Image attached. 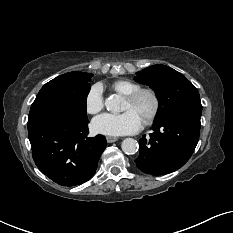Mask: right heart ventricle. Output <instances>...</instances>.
<instances>
[{
	"label": "right heart ventricle",
	"instance_id": "right-heart-ventricle-1",
	"mask_svg": "<svg viewBox=\"0 0 233 233\" xmlns=\"http://www.w3.org/2000/svg\"><path fill=\"white\" fill-rule=\"evenodd\" d=\"M111 88L116 93H118L122 96H127V95L131 94L132 92L136 91L137 89H139L140 85L138 83L133 82V81H130L127 79H122V80L115 81L111 85Z\"/></svg>",
	"mask_w": 233,
	"mask_h": 233
}]
</instances>
